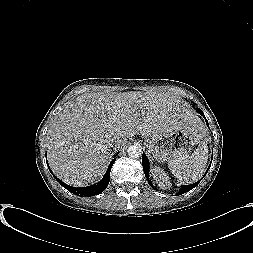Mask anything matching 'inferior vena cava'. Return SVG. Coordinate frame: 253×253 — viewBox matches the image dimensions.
Instances as JSON below:
<instances>
[{"mask_svg": "<svg viewBox=\"0 0 253 253\" xmlns=\"http://www.w3.org/2000/svg\"><path fill=\"white\" fill-rule=\"evenodd\" d=\"M110 142H111V144H113L115 149L119 150V149L123 148L124 144H123L122 138L118 134L111 135Z\"/></svg>", "mask_w": 253, "mask_h": 253, "instance_id": "1", "label": "inferior vena cava"}]
</instances>
